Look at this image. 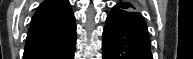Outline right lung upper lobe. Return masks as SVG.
Masks as SVG:
<instances>
[{"label": "right lung upper lobe", "mask_w": 193, "mask_h": 59, "mask_svg": "<svg viewBox=\"0 0 193 59\" xmlns=\"http://www.w3.org/2000/svg\"><path fill=\"white\" fill-rule=\"evenodd\" d=\"M75 30V18L68 1L45 0L32 18L25 50L52 46Z\"/></svg>", "instance_id": "obj_1"}]
</instances>
